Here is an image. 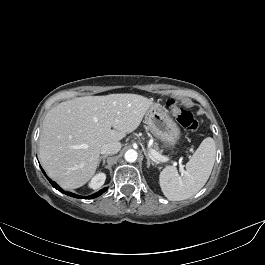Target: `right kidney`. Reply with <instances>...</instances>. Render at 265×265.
<instances>
[{
  "instance_id": "ca27d5eb",
  "label": "right kidney",
  "mask_w": 265,
  "mask_h": 265,
  "mask_svg": "<svg viewBox=\"0 0 265 265\" xmlns=\"http://www.w3.org/2000/svg\"><path fill=\"white\" fill-rule=\"evenodd\" d=\"M105 179L106 175L104 173H99L92 178L89 187L92 189H99L104 184Z\"/></svg>"
}]
</instances>
